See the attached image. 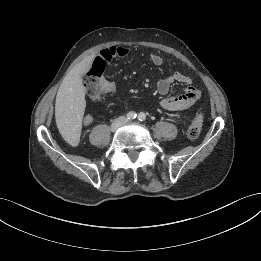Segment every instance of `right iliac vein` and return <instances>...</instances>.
Instances as JSON below:
<instances>
[{
	"instance_id": "obj_1",
	"label": "right iliac vein",
	"mask_w": 261,
	"mask_h": 261,
	"mask_svg": "<svg viewBox=\"0 0 261 261\" xmlns=\"http://www.w3.org/2000/svg\"><path fill=\"white\" fill-rule=\"evenodd\" d=\"M125 123V120L123 118H119L115 120L111 125V131H116L119 129L123 124Z\"/></svg>"
}]
</instances>
